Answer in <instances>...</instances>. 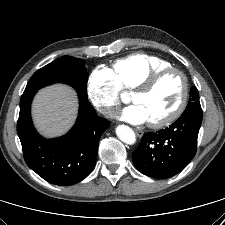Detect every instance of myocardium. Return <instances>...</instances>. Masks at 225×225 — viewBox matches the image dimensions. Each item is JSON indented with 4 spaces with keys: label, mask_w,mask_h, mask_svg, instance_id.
I'll return each instance as SVG.
<instances>
[{
    "label": "myocardium",
    "mask_w": 225,
    "mask_h": 225,
    "mask_svg": "<svg viewBox=\"0 0 225 225\" xmlns=\"http://www.w3.org/2000/svg\"><path fill=\"white\" fill-rule=\"evenodd\" d=\"M171 73L177 74L181 80L182 90L179 102L176 105V107L163 118L156 121H149V125L152 128L165 127L173 123L175 120H177L183 113L188 100V93H189L188 79L180 69L175 67H167L149 75L133 89V92H144V93L149 92L157 85V83L161 79H163L165 76Z\"/></svg>",
    "instance_id": "myocardium-1"
}]
</instances>
